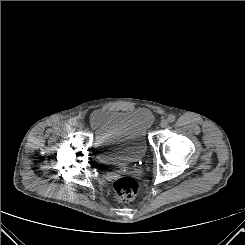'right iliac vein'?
<instances>
[{
    "label": "right iliac vein",
    "mask_w": 245,
    "mask_h": 245,
    "mask_svg": "<svg viewBox=\"0 0 245 245\" xmlns=\"http://www.w3.org/2000/svg\"><path fill=\"white\" fill-rule=\"evenodd\" d=\"M78 128H83V123L82 122H77L76 124H75Z\"/></svg>",
    "instance_id": "1"
}]
</instances>
